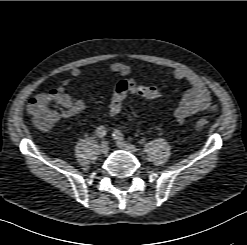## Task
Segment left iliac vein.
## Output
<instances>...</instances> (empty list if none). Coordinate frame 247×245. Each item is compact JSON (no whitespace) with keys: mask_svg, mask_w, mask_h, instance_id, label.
<instances>
[{"mask_svg":"<svg viewBox=\"0 0 247 245\" xmlns=\"http://www.w3.org/2000/svg\"><path fill=\"white\" fill-rule=\"evenodd\" d=\"M117 146L123 150L129 151L131 153H134L137 151V148L134 145H131L125 141L117 140Z\"/></svg>","mask_w":247,"mask_h":245,"instance_id":"4c4485c4","label":"left iliac vein"}]
</instances>
